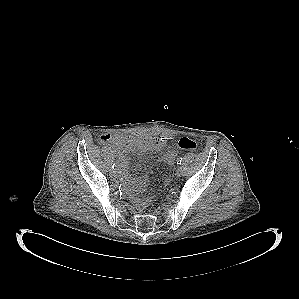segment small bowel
I'll use <instances>...</instances> for the list:
<instances>
[{
	"label": "small bowel",
	"instance_id": "small-bowel-1",
	"mask_svg": "<svg viewBox=\"0 0 299 299\" xmlns=\"http://www.w3.org/2000/svg\"><path fill=\"white\" fill-rule=\"evenodd\" d=\"M102 143L111 146L118 155L121 179L128 185L141 189L147 185V178L132 179L131 169L127 159V154L143 153L146 151H156L163 149L167 144V138L163 136L138 135L127 136L123 134H103L100 137ZM177 158L175 150L167 151L161 161L167 165L174 164Z\"/></svg>",
	"mask_w": 299,
	"mask_h": 299
}]
</instances>
